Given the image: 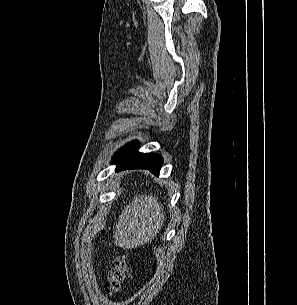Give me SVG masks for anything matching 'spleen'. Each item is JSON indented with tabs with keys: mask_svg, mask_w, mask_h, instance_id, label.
<instances>
[{
	"mask_svg": "<svg viewBox=\"0 0 297 305\" xmlns=\"http://www.w3.org/2000/svg\"><path fill=\"white\" fill-rule=\"evenodd\" d=\"M163 221V209L157 198L136 196L120 215L114 231L115 242L126 248L148 243L158 233Z\"/></svg>",
	"mask_w": 297,
	"mask_h": 305,
	"instance_id": "obj_1",
	"label": "spleen"
}]
</instances>
